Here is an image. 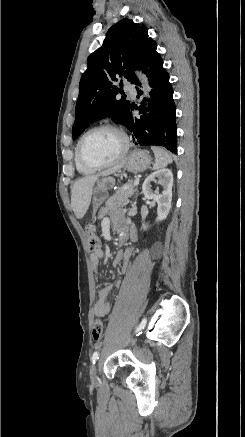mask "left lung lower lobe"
<instances>
[{
	"instance_id": "left-lung-lower-lobe-1",
	"label": "left lung lower lobe",
	"mask_w": 245,
	"mask_h": 437,
	"mask_svg": "<svg viewBox=\"0 0 245 437\" xmlns=\"http://www.w3.org/2000/svg\"><path fill=\"white\" fill-rule=\"evenodd\" d=\"M157 47V46H156ZM156 47L151 49L141 63L140 69L147 74L151 90L150 113L148 116L134 118L130 106L126 127L133 132V142L143 146H163L173 153H177L176 107L173 101V89L169 83V75L163 68V60ZM138 94L140 83L137 78ZM145 102L143 99L142 103ZM140 113H146L144 105L140 106Z\"/></svg>"
}]
</instances>
